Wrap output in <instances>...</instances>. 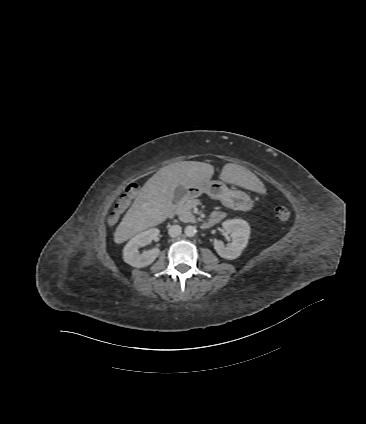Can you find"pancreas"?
I'll return each mask as SVG.
<instances>
[{
  "instance_id": "1",
  "label": "pancreas",
  "mask_w": 366,
  "mask_h": 424,
  "mask_svg": "<svg viewBox=\"0 0 366 424\" xmlns=\"http://www.w3.org/2000/svg\"><path fill=\"white\" fill-rule=\"evenodd\" d=\"M197 201L196 200H186V201H182L178 204V216L179 219L183 222H191V223H195L196 219L192 213V209L197 205Z\"/></svg>"
}]
</instances>
